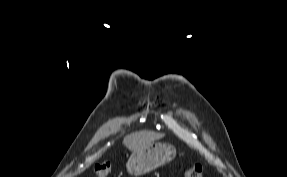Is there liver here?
<instances>
[{
    "label": "liver",
    "mask_w": 287,
    "mask_h": 177,
    "mask_svg": "<svg viewBox=\"0 0 287 177\" xmlns=\"http://www.w3.org/2000/svg\"><path fill=\"white\" fill-rule=\"evenodd\" d=\"M162 137H164V134L150 131H140L126 136L123 140V144L128 149L133 151L145 147Z\"/></svg>",
    "instance_id": "liver-1"
}]
</instances>
